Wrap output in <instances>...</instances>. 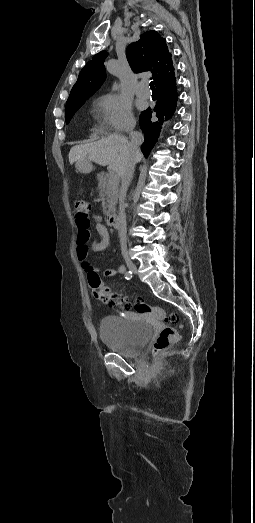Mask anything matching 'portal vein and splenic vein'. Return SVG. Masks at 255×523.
Masks as SVG:
<instances>
[{"label":"portal vein and splenic vein","mask_w":255,"mask_h":523,"mask_svg":"<svg viewBox=\"0 0 255 523\" xmlns=\"http://www.w3.org/2000/svg\"><path fill=\"white\" fill-rule=\"evenodd\" d=\"M109 173H110L111 175H114V174L116 173V170H115L114 168H111V169L109 170Z\"/></svg>","instance_id":"1"}]
</instances>
